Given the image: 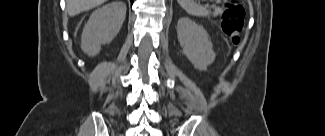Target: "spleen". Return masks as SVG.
Segmentation results:
<instances>
[{
	"instance_id": "1",
	"label": "spleen",
	"mask_w": 325,
	"mask_h": 136,
	"mask_svg": "<svg viewBox=\"0 0 325 136\" xmlns=\"http://www.w3.org/2000/svg\"><path fill=\"white\" fill-rule=\"evenodd\" d=\"M178 3L189 15L205 17L211 14V12L208 11L205 7L197 4L193 0H179ZM212 14L214 16H217L219 13L214 12Z\"/></svg>"
}]
</instances>
